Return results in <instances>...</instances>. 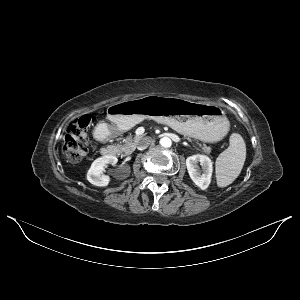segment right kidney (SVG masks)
<instances>
[{"mask_svg": "<svg viewBox=\"0 0 300 300\" xmlns=\"http://www.w3.org/2000/svg\"><path fill=\"white\" fill-rule=\"evenodd\" d=\"M118 159L113 155H105L97 158L87 172V180L96 186H107L110 178L107 175H102L104 167L108 164L115 165Z\"/></svg>", "mask_w": 300, "mask_h": 300, "instance_id": "right-kidney-1", "label": "right kidney"}]
</instances>
